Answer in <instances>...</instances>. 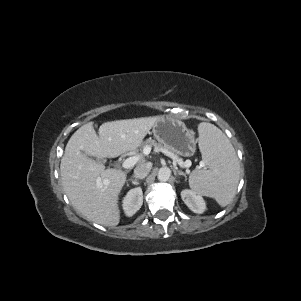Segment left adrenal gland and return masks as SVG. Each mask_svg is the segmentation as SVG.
I'll list each match as a JSON object with an SVG mask.
<instances>
[{"mask_svg":"<svg viewBox=\"0 0 301 301\" xmlns=\"http://www.w3.org/2000/svg\"><path fill=\"white\" fill-rule=\"evenodd\" d=\"M175 172L178 174V175H182V176H185L186 177V174L180 170H178L177 168H175Z\"/></svg>","mask_w":301,"mask_h":301,"instance_id":"obj_1","label":"left adrenal gland"}]
</instances>
